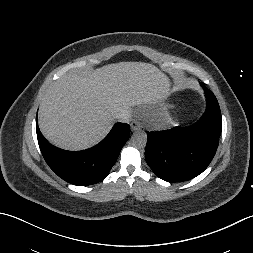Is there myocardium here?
<instances>
[{"instance_id":"1","label":"myocardium","mask_w":253,"mask_h":253,"mask_svg":"<svg viewBox=\"0 0 253 253\" xmlns=\"http://www.w3.org/2000/svg\"><path fill=\"white\" fill-rule=\"evenodd\" d=\"M168 117L166 115H160L158 116L157 120H156V124L158 126H164L167 122Z\"/></svg>"}]
</instances>
